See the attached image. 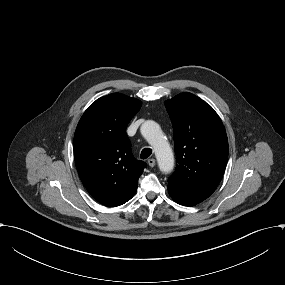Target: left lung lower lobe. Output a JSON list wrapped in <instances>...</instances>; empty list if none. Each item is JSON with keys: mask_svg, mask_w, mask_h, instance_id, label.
Listing matches in <instances>:
<instances>
[{"mask_svg": "<svg viewBox=\"0 0 285 285\" xmlns=\"http://www.w3.org/2000/svg\"><path fill=\"white\" fill-rule=\"evenodd\" d=\"M170 196L173 198V200L181 205H185V206H194L198 203H195V202H192V201H189V200H186V199H183V198H180L172 193H170Z\"/></svg>", "mask_w": 285, "mask_h": 285, "instance_id": "0a47b994", "label": "left lung lower lobe"}]
</instances>
